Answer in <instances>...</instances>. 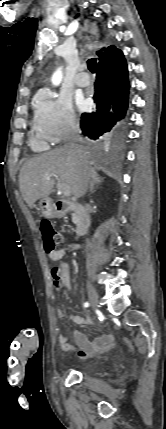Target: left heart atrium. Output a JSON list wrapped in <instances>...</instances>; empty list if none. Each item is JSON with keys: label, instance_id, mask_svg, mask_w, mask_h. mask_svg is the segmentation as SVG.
<instances>
[{"label": "left heart atrium", "instance_id": "39dd6f15", "mask_svg": "<svg viewBox=\"0 0 166 429\" xmlns=\"http://www.w3.org/2000/svg\"><path fill=\"white\" fill-rule=\"evenodd\" d=\"M78 106H79V108H81V109H83V108H84V106H85V102H84V100H83L82 98H79V99H78Z\"/></svg>", "mask_w": 166, "mask_h": 429}]
</instances>
